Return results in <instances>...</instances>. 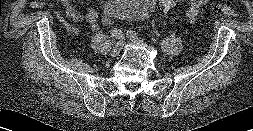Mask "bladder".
<instances>
[{
	"label": "bladder",
	"mask_w": 253,
	"mask_h": 131,
	"mask_svg": "<svg viewBox=\"0 0 253 131\" xmlns=\"http://www.w3.org/2000/svg\"><path fill=\"white\" fill-rule=\"evenodd\" d=\"M151 11L149 0H110L105 13L110 19H135Z\"/></svg>",
	"instance_id": "1"
}]
</instances>
